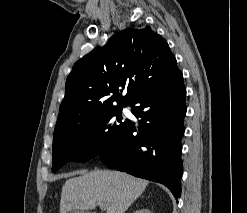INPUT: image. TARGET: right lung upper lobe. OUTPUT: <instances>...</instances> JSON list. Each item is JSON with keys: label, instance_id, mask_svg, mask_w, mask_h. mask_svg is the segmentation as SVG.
<instances>
[{"label": "right lung upper lobe", "instance_id": "right-lung-upper-lobe-1", "mask_svg": "<svg viewBox=\"0 0 247 213\" xmlns=\"http://www.w3.org/2000/svg\"><path fill=\"white\" fill-rule=\"evenodd\" d=\"M177 67L168 43L147 26L129 28L78 60L65 85L54 136L126 105L143 88ZM127 89L122 96L123 89Z\"/></svg>", "mask_w": 247, "mask_h": 213}]
</instances>
